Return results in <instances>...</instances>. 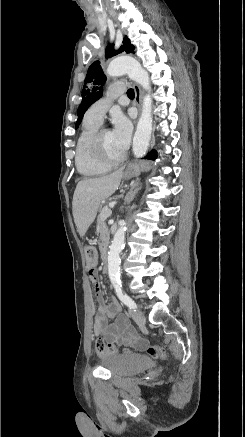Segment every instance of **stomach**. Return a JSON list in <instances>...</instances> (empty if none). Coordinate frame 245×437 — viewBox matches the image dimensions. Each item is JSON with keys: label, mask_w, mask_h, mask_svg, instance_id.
I'll return each mask as SVG.
<instances>
[{"label": "stomach", "mask_w": 245, "mask_h": 437, "mask_svg": "<svg viewBox=\"0 0 245 437\" xmlns=\"http://www.w3.org/2000/svg\"><path fill=\"white\" fill-rule=\"evenodd\" d=\"M147 169H148V165L146 163L131 164L125 170L123 174V178L128 180L130 178L137 177L143 170H147Z\"/></svg>", "instance_id": "1"}]
</instances>
